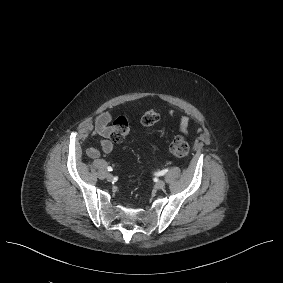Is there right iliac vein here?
<instances>
[{
  "label": "right iliac vein",
  "mask_w": 283,
  "mask_h": 283,
  "mask_svg": "<svg viewBox=\"0 0 283 283\" xmlns=\"http://www.w3.org/2000/svg\"><path fill=\"white\" fill-rule=\"evenodd\" d=\"M106 179H107V181H112V180H113V174L108 173V174L106 175Z\"/></svg>",
  "instance_id": "obj_1"
}]
</instances>
